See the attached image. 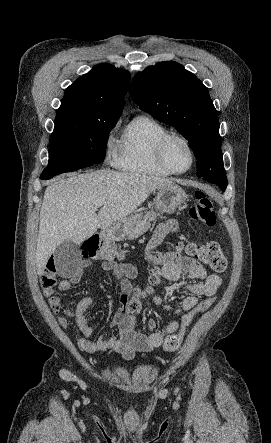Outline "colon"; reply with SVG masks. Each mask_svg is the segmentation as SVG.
Returning <instances> with one entry per match:
<instances>
[{
    "mask_svg": "<svg viewBox=\"0 0 271 443\" xmlns=\"http://www.w3.org/2000/svg\"><path fill=\"white\" fill-rule=\"evenodd\" d=\"M195 204L190 208L189 215L193 220H197L206 226H213L216 223V215L211 198L203 191L195 193ZM178 248H184L189 254L198 258L215 272H223L227 267V260L217 242L211 241L203 244L187 242L178 244ZM83 256L88 259L114 260L122 257V253L114 245L99 237L90 238L84 248ZM156 257L159 258L158 254ZM56 266L53 260H50L46 269L40 276V284L44 290L52 289L56 285ZM158 283V270L153 269V275L150 279V285L145 289L134 288L131 292V298L128 309L131 313H137L141 309L142 299L154 292V287ZM153 302H158L157 297L152 298ZM215 297H209L197 303L190 311L183 315L180 327L176 333L170 334L165 338L163 350L165 352L176 351L183 340L190 324L196 316L209 309L215 302Z\"/></svg>",
    "mask_w": 271,
    "mask_h": 443,
    "instance_id": "5ec220e1",
    "label": "colon"
}]
</instances>
